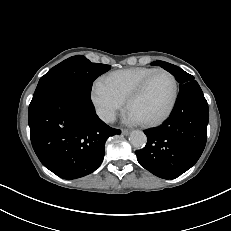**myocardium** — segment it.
<instances>
[{
  "label": "myocardium",
  "mask_w": 231,
  "mask_h": 231,
  "mask_svg": "<svg viewBox=\"0 0 231 231\" xmlns=\"http://www.w3.org/2000/svg\"><path fill=\"white\" fill-rule=\"evenodd\" d=\"M157 73H164L167 74L173 82V87H174V91H173V96H172V100L170 102V105L168 106L167 110L159 117L152 119V120H147V121H140L139 123L145 127H154V126H158L160 124H162L164 121H166L170 115L172 114V112L175 109L177 100H178V95H179V85H178V81L177 78L175 77V75L173 73H171L170 71L163 69V68H158L155 69L154 71H152L148 76H146L141 82L140 84L129 94V96L127 97L126 101H125V108L128 111L130 105L136 100L138 99L142 93L144 92V90L146 89L148 83L150 82V80L157 74Z\"/></svg>",
  "instance_id": "obj_1"
}]
</instances>
